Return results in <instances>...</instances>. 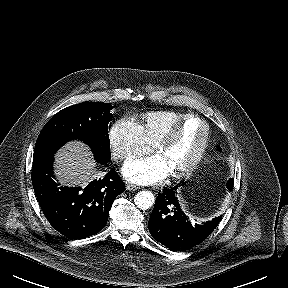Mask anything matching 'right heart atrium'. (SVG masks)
<instances>
[{
	"label": "right heart atrium",
	"mask_w": 288,
	"mask_h": 288,
	"mask_svg": "<svg viewBox=\"0 0 288 288\" xmlns=\"http://www.w3.org/2000/svg\"><path fill=\"white\" fill-rule=\"evenodd\" d=\"M109 144L115 161H128L151 150L137 122L131 119L118 120L109 131Z\"/></svg>",
	"instance_id": "1"
}]
</instances>
